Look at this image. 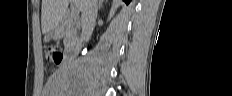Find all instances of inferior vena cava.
<instances>
[{
	"label": "inferior vena cava",
	"mask_w": 232,
	"mask_h": 96,
	"mask_svg": "<svg viewBox=\"0 0 232 96\" xmlns=\"http://www.w3.org/2000/svg\"><path fill=\"white\" fill-rule=\"evenodd\" d=\"M98 0H83L81 23L82 40L88 41L94 29V23L98 11Z\"/></svg>",
	"instance_id": "obj_1"
}]
</instances>
